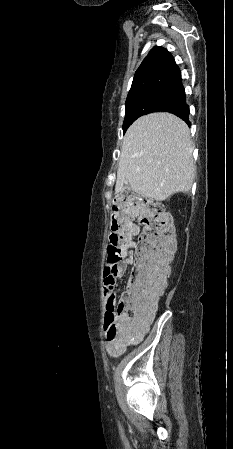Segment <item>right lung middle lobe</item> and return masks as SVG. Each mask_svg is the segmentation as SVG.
Masks as SVG:
<instances>
[{
  "instance_id": "right-lung-middle-lobe-1",
  "label": "right lung middle lobe",
  "mask_w": 233,
  "mask_h": 449,
  "mask_svg": "<svg viewBox=\"0 0 233 449\" xmlns=\"http://www.w3.org/2000/svg\"><path fill=\"white\" fill-rule=\"evenodd\" d=\"M184 97L183 90L172 88H153L128 95L123 122L124 132L140 116L159 111L167 105L182 100Z\"/></svg>"
}]
</instances>
